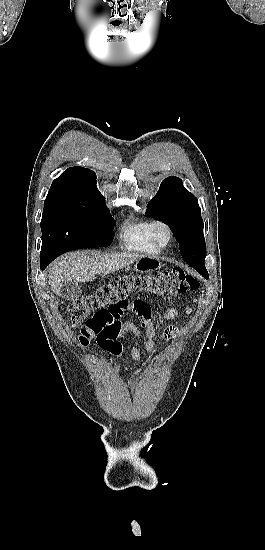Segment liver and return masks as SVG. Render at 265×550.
Wrapping results in <instances>:
<instances>
[{
	"label": "liver",
	"mask_w": 265,
	"mask_h": 550,
	"mask_svg": "<svg viewBox=\"0 0 265 550\" xmlns=\"http://www.w3.org/2000/svg\"><path fill=\"white\" fill-rule=\"evenodd\" d=\"M141 258L130 253L91 254L72 252L62 256L51 267L48 279L51 290L61 294L66 283L93 281L96 275H107L124 268Z\"/></svg>",
	"instance_id": "liver-1"
}]
</instances>
